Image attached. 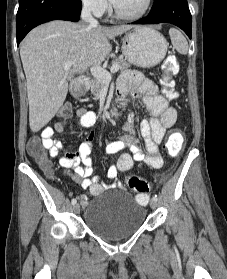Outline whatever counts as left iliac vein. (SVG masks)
<instances>
[{
  "label": "left iliac vein",
  "instance_id": "obj_1",
  "mask_svg": "<svg viewBox=\"0 0 227 279\" xmlns=\"http://www.w3.org/2000/svg\"><path fill=\"white\" fill-rule=\"evenodd\" d=\"M150 206H151V208L155 209L157 207V201L154 199H151Z\"/></svg>",
  "mask_w": 227,
  "mask_h": 279
}]
</instances>
